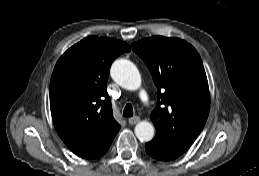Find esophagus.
Listing matches in <instances>:
<instances>
[{
  "mask_svg": "<svg viewBox=\"0 0 259 176\" xmlns=\"http://www.w3.org/2000/svg\"><path fill=\"white\" fill-rule=\"evenodd\" d=\"M140 121V118L138 116L131 117L128 119V122L130 125H134Z\"/></svg>",
  "mask_w": 259,
  "mask_h": 176,
  "instance_id": "obj_1",
  "label": "esophagus"
}]
</instances>
